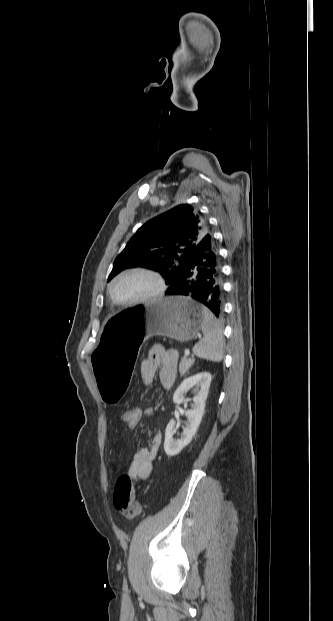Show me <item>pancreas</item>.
I'll return each mask as SVG.
<instances>
[{
    "label": "pancreas",
    "mask_w": 333,
    "mask_h": 621,
    "mask_svg": "<svg viewBox=\"0 0 333 621\" xmlns=\"http://www.w3.org/2000/svg\"><path fill=\"white\" fill-rule=\"evenodd\" d=\"M194 362H195V359L193 357L192 358L183 357L179 365L180 374L182 376L185 375L188 372V370L192 367Z\"/></svg>",
    "instance_id": "1"
}]
</instances>
